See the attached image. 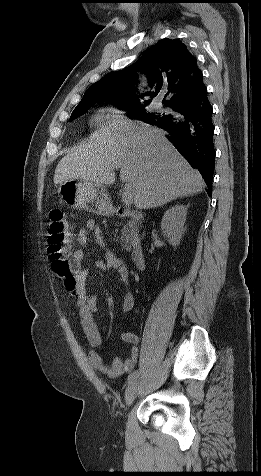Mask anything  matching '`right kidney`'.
<instances>
[{"label":"right kidney","instance_id":"right-kidney-1","mask_svg":"<svg viewBox=\"0 0 261 476\" xmlns=\"http://www.w3.org/2000/svg\"><path fill=\"white\" fill-rule=\"evenodd\" d=\"M187 207L181 204L170 207L161 221V229L164 236L172 246H178L182 235L185 232L184 224L186 221Z\"/></svg>","mask_w":261,"mask_h":476}]
</instances>
